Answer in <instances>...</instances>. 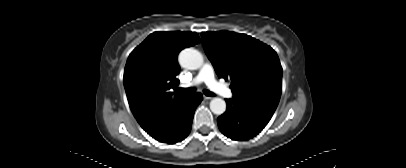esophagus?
I'll use <instances>...</instances> for the list:
<instances>
[{"mask_svg": "<svg viewBox=\"0 0 406 168\" xmlns=\"http://www.w3.org/2000/svg\"><path fill=\"white\" fill-rule=\"evenodd\" d=\"M204 99H205V100H211V99H212V97H209V96H204Z\"/></svg>", "mask_w": 406, "mask_h": 168, "instance_id": "1", "label": "esophagus"}]
</instances>
